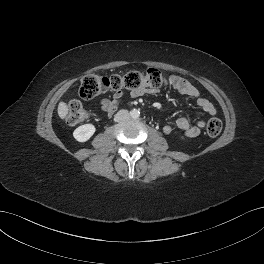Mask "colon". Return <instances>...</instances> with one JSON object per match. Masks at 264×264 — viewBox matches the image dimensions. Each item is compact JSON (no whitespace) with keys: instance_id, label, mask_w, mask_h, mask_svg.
Segmentation results:
<instances>
[{"instance_id":"obj_1","label":"colon","mask_w":264,"mask_h":264,"mask_svg":"<svg viewBox=\"0 0 264 264\" xmlns=\"http://www.w3.org/2000/svg\"><path fill=\"white\" fill-rule=\"evenodd\" d=\"M167 79L162 71L150 68L146 72L130 71L125 74L102 76L97 74L86 75L80 85L79 94L84 99H91L108 90L120 91L128 89L137 91L146 88H160L166 85ZM86 111L82 104L73 100L68 104L67 123L76 125L84 120ZM222 131V122L218 118L208 121L206 132L210 137H217Z\"/></svg>"}]
</instances>
